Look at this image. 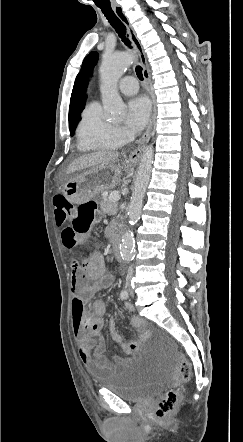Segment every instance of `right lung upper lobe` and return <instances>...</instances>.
<instances>
[{
	"label": "right lung upper lobe",
	"mask_w": 243,
	"mask_h": 442,
	"mask_svg": "<svg viewBox=\"0 0 243 442\" xmlns=\"http://www.w3.org/2000/svg\"><path fill=\"white\" fill-rule=\"evenodd\" d=\"M86 76L84 72H80L75 80L70 106H69V126L78 123L79 105L86 89Z\"/></svg>",
	"instance_id": "obj_1"
}]
</instances>
